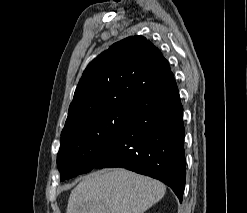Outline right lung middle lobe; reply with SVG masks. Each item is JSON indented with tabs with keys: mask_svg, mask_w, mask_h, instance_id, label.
Instances as JSON below:
<instances>
[{
	"mask_svg": "<svg viewBox=\"0 0 247 213\" xmlns=\"http://www.w3.org/2000/svg\"><path fill=\"white\" fill-rule=\"evenodd\" d=\"M131 109L130 99L121 101L61 134L57 167L62 181L95 167L105 145L120 130Z\"/></svg>",
	"mask_w": 247,
	"mask_h": 213,
	"instance_id": "obj_1",
	"label": "right lung middle lobe"
}]
</instances>
